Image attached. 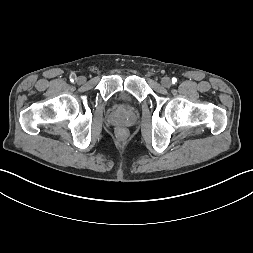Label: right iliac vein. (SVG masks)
Wrapping results in <instances>:
<instances>
[{
    "label": "right iliac vein",
    "mask_w": 253,
    "mask_h": 253,
    "mask_svg": "<svg viewBox=\"0 0 253 253\" xmlns=\"http://www.w3.org/2000/svg\"><path fill=\"white\" fill-rule=\"evenodd\" d=\"M85 81H86V78H85L84 76H78V77L76 78V82H77L78 84H83V83H85Z\"/></svg>",
    "instance_id": "right-iliac-vein-1"
}]
</instances>
